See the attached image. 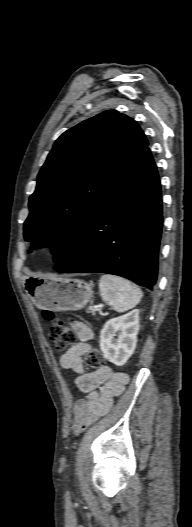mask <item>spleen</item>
Masks as SVG:
<instances>
[{"instance_id":"1","label":"spleen","mask_w":192,"mask_h":527,"mask_svg":"<svg viewBox=\"0 0 192 527\" xmlns=\"http://www.w3.org/2000/svg\"><path fill=\"white\" fill-rule=\"evenodd\" d=\"M99 289L102 300L117 312H125L135 307L143 296L141 289L128 280L108 274L101 276Z\"/></svg>"}]
</instances>
